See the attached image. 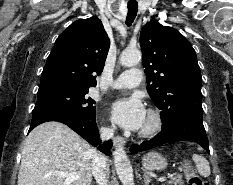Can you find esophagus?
Segmentation results:
<instances>
[{"instance_id":"1","label":"esophagus","mask_w":233,"mask_h":185,"mask_svg":"<svg viewBox=\"0 0 233 185\" xmlns=\"http://www.w3.org/2000/svg\"><path fill=\"white\" fill-rule=\"evenodd\" d=\"M113 143L115 146H123L125 144V139L121 136H115L113 138Z\"/></svg>"}]
</instances>
